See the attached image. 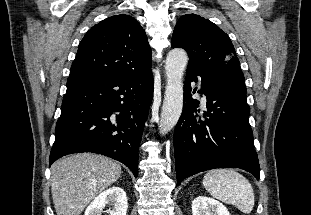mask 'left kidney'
<instances>
[{
    "instance_id": "left-kidney-1",
    "label": "left kidney",
    "mask_w": 311,
    "mask_h": 215,
    "mask_svg": "<svg viewBox=\"0 0 311 215\" xmlns=\"http://www.w3.org/2000/svg\"><path fill=\"white\" fill-rule=\"evenodd\" d=\"M192 215H230V213L221 202L198 196L192 202Z\"/></svg>"
}]
</instances>
